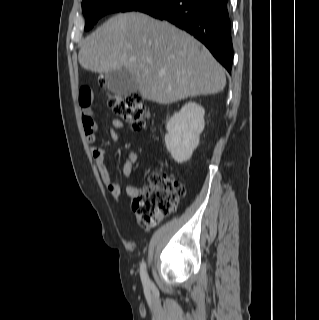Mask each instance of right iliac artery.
<instances>
[{
    "label": "right iliac artery",
    "mask_w": 319,
    "mask_h": 320,
    "mask_svg": "<svg viewBox=\"0 0 319 320\" xmlns=\"http://www.w3.org/2000/svg\"><path fill=\"white\" fill-rule=\"evenodd\" d=\"M140 275H141V280H142L143 286L148 288L150 286L151 282L149 280V277H148V274L146 271V264L144 262L141 264Z\"/></svg>",
    "instance_id": "82829eb1"
}]
</instances>
